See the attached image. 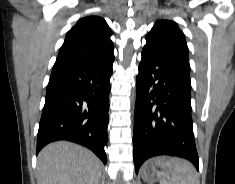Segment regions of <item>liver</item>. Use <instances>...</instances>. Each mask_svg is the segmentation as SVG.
<instances>
[{
	"instance_id": "6515ba94",
	"label": "liver",
	"mask_w": 235,
	"mask_h": 184,
	"mask_svg": "<svg viewBox=\"0 0 235 184\" xmlns=\"http://www.w3.org/2000/svg\"><path fill=\"white\" fill-rule=\"evenodd\" d=\"M101 174V160L71 142L48 144L38 156L37 184H99Z\"/></svg>"
}]
</instances>
